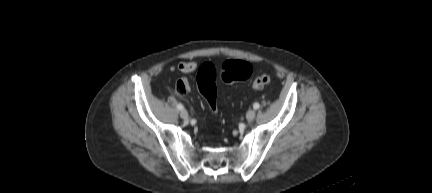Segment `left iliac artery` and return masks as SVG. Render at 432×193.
Here are the masks:
<instances>
[{
  "label": "left iliac artery",
  "mask_w": 432,
  "mask_h": 193,
  "mask_svg": "<svg viewBox=\"0 0 432 193\" xmlns=\"http://www.w3.org/2000/svg\"><path fill=\"white\" fill-rule=\"evenodd\" d=\"M259 107H260L259 103H254V105H253L254 109H259Z\"/></svg>",
  "instance_id": "1"
}]
</instances>
